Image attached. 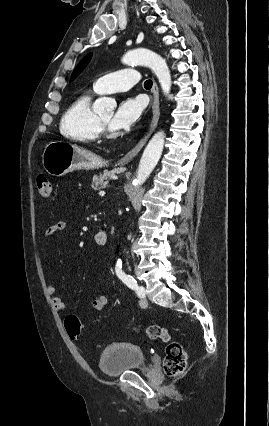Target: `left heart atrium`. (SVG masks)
Segmentation results:
<instances>
[{
    "mask_svg": "<svg viewBox=\"0 0 269 426\" xmlns=\"http://www.w3.org/2000/svg\"><path fill=\"white\" fill-rule=\"evenodd\" d=\"M145 104L140 98L123 100L114 113L109 126L114 131H121L133 126L141 117Z\"/></svg>",
    "mask_w": 269,
    "mask_h": 426,
    "instance_id": "left-heart-atrium-1",
    "label": "left heart atrium"
}]
</instances>
